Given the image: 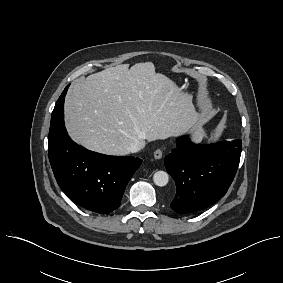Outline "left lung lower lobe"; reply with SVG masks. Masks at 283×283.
<instances>
[{"label": "left lung lower lobe", "mask_w": 283, "mask_h": 283, "mask_svg": "<svg viewBox=\"0 0 283 283\" xmlns=\"http://www.w3.org/2000/svg\"><path fill=\"white\" fill-rule=\"evenodd\" d=\"M176 144L177 148L165 158V167L176 183L171 208L188 214L213 205L225 195L234 179L241 140L196 145L184 136Z\"/></svg>", "instance_id": "0a47b994"}]
</instances>
